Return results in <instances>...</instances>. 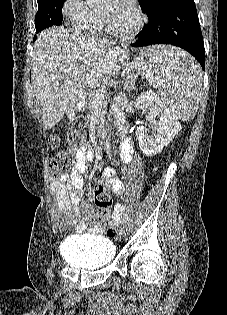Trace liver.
Returning <instances> with one entry per match:
<instances>
[{
  "instance_id": "1",
  "label": "liver",
  "mask_w": 227,
  "mask_h": 315,
  "mask_svg": "<svg viewBox=\"0 0 227 315\" xmlns=\"http://www.w3.org/2000/svg\"><path fill=\"white\" fill-rule=\"evenodd\" d=\"M122 58V52L109 41L64 27L42 31L34 44L31 82L41 106L44 129L52 128L65 113L75 111L87 78L116 71Z\"/></svg>"
}]
</instances>
